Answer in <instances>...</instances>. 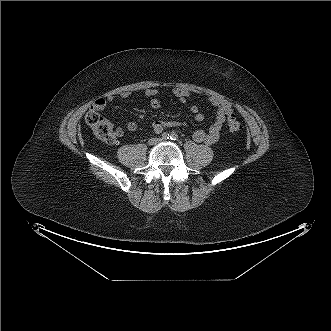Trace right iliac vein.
<instances>
[{
    "label": "right iliac vein",
    "mask_w": 331,
    "mask_h": 331,
    "mask_svg": "<svg viewBox=\"0 0 331 331\" xmlns=\"http://www.w3.org/2000/svg\"><path fill=\"white\" fill-rule=\"evenodd\" d=\"M149 143L153 145L155 143V140H151Z\"/></svg>",
    "instance_id": "obj_1"
}]
</instances>
